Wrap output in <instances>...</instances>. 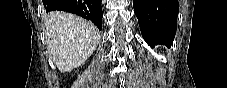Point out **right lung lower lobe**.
Wrapping results in <instances>:
<instances>
[{
  "label": "right lung lower lobe",
  "mask_w": 227,
  "mask_h": 88,
  "mask_svg": "<svg viewBox=\"0 0 227 88\" xmlns=\"http://www.w3.org/2000/svg\"><path fill=\"white\" fill-rule=\"evenodd\" d=\"M47 12L58 10L75 13L102 29L101 0H43Z\"/></svg>",
  "instance_id": "right-lung-lower-lobe-1"
}]
</instances>
